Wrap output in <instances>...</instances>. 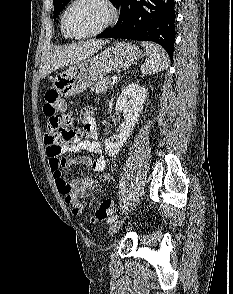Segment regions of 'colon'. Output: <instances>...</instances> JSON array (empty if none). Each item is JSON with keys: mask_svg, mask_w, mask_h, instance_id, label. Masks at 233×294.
Segmentation results:
<instances>
[{"mask_svg": "<svg viewBox=\"0 0 233 294\" xmlns=\"http://www.w3.org/2000/svg\"><path fill=\"white\" fill-rule=\"evenodd\" d=\"M62 109H63V105H62V102L60 101L58 93L55 91L46 92L44 96V107H43L44 114L47 117H51V114H53V110H62ZM66 202L71 205L72 212L75 215H78L82 212L83 205L82 203L79 202L78 199L68 195L66 196ZM113 210H114L113 202L109 199L104 200L94 210L91 216V221L94 223L100 222L106 219L109 215H111L113 213Z\"/></svg>", "mask_w": 233, "mask_h": 294, "instance_id": "5ec220e1", "label": "colon"}]
</instances>
